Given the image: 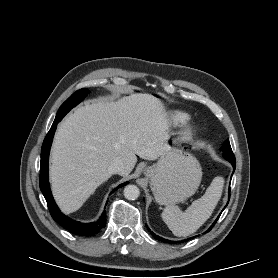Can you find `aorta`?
I'll return each instance as SVG.
<instances>
[{
  "mask_svg": "<svg viewBox=\"0 0 278 278\" xmlns=\"http://www.w3.org/2000/svg\"><path fill=\"white\" fill-rule=\"evenodd\" d=\"M140 191L136 185H128L124 188V197L128 200H135L139 197Z\"/></svg>",
  "mask_w": 278,
  "mask_h": 278,
  "instance_id": "obj_1",
  "label": "aorta"
}]
</instances>
